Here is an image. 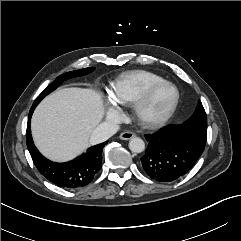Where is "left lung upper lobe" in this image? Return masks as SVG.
<instances>
[{
	"label": "left lung upper lobe",
	"mask_w": 241,
	"mask_h": 241,
	"mask_svg": "<svg viewBox=\"0 0 241 241\" xmlns=\"http://www.w3.org/2000/svg\"><path fill=\"white\" fill-rule=\"evenodd\" d=\"M182 125L193 129L201 136L202 139L206 141L207 117L201 101L198 102V105L196 107L194 114L188 120H186Z\"/></svg>",
	"instance_id": "1"
}]
</instances>
